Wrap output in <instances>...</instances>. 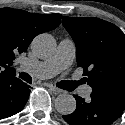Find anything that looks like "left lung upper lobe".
<instances>
[{
    "instance_id": "1",
    "label": "left lung upper lobe",
    "mask_w": 125,
    "mask_h": 125,
    "mask_svg": "<svg viewBox=\"0 0 125 125\" xmlns=\"http://www.w3.org/2000/svg\"><path fill=\"white\" fill-rule=\"evenodd\" d=\"M76 45V61L92 92L125 95V35L95 17H63Z\"/></svg>"
}]
</instances>
